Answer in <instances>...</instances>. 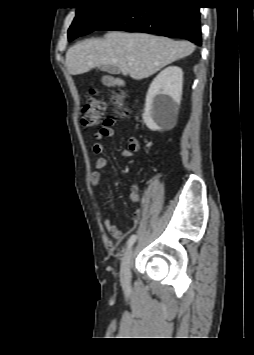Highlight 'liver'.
I'll use <instances>...</instances> for the list:
<instances>
[{"instance_id": "6515ba94", "label": "liver", "mask_w": 254, "mask_h": 355, "mask_svg": "<svg viewBox=\"0 0 254 355\" xmlns=\"http://www.w3.org/2000/svg\"><path fill=\"white\" fill-rule=\"evenodd\" d=\"M195 45L145 33L113 31L103 39H86L68 49L66 67L80 75L99 66H114L124 76L140 80L166 65L189 56ZM128 59H132L131 63Z\"/></svg>"}]
</instances>
